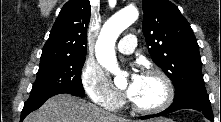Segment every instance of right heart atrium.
Returning <instances> with one entry per match:
<instances>
[{
	"label": "right heart atrium",
	"instance_id": "obj_1",
	"mask_svg": "<svg viewBox=\"0 0 221 122\" xmlns=\"http://www.w3.org/2000/svg\"><path fill=\"white\" fill-rule=\"evenodd\" d=\"M81 83L88 97L97 105L117 110L123 104V96L109 82L100 66L86 62L81 71Z\"/></svg>",
	"mask_w": 221,
	"mask_h": 122
}]
</instances>
